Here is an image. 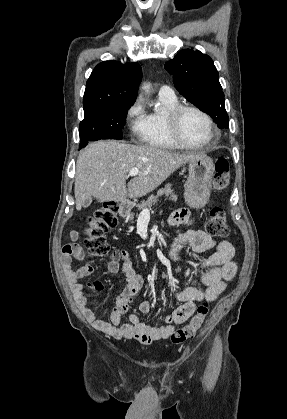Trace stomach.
I'll return each mask as SVG.
<instances>
[{"label":"stomach","instance_id":"obj_1","mask_svg":"<svg viewBox=\"0 0 287 419\" xmlns=\"http://www.w3.org/2000/svg\"><path fill=\"white\" fill-rule=\"evenodd\" d=\"M189 176L185 184L184 197L187 204L192 208H201L208 202L212 187L215 165L211 158L204 156L189 162ZM132 207L123 205L120 207V216L131 217Z\"/></svg>","mask_w":287,"mask_h":419}]
</instances>
